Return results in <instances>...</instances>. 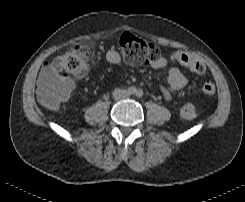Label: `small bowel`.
Listing matches in <instances>:
<instances>
[{"instance_id":"c3829d8e","label":"small bowel","mask_w":245,"mask_h":202,"mask_svg":"<svg viewBox=\"0 0 245 202\" xmlns=\"http://www.w3.org/2000/svg\"><path fill=\"white\" fill-rule=\"evenodd\" d=\"M105 60L110 64H119L121 55L115 49H108L104 54ZM176 59V54H171L169 58L160 56L157 61L152 62V67L157 70L167 71V86L161 87L162 94L166 100H170L173 93L179 92L187 85V78L184 73L176 66L171 64ZM59 84L66 89L69 95L73 92L74 82L65 77H57L48 66L42 70L38 81L39 91L48 86Z\"/></svg>"}]
</instances>
